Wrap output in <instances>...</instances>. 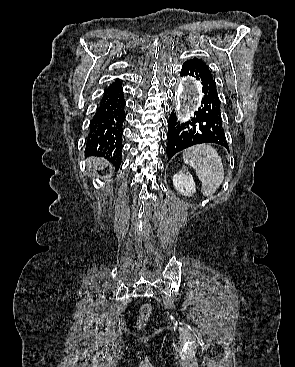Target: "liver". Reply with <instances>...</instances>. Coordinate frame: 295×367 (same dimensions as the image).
<instances>
[{
	"label": "liver",
	"instance_id": "1",
	"mask_svg": "<svg viewBox=\"0 0 295 367\" xmlns=\"http://www.w3.org/2000/svg\"><path fill=\"white\" fill-rule=\"evenodd\" d=\"M108 165V162L104 159H100V158H91L89 160V164H88V167L91 168H95V169H98V168H103L104 166H107Z\"/></svg>",
	"mask_w": 295,
	"mask_h": 367
}]
</instances>
